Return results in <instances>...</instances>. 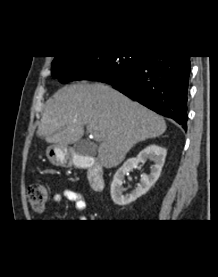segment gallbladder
<instances>
[{
  "instance_id": "gallbladder-1",
  "label": "gallbladder",
  "mask_w": 218,
  "mask_h": 277,
  "mask_svg": "<svg viewBox=\"0 0 218 277\" xmlns=\"http://www.w3.org/2000/svg\"><path fill=\"white\" fill-rule=\"evenodd\" d=\"M73 149H74L75 153L78 155H94L95 154V149L93 148V146H91L89 144V142L84 139L77 141L74 144Z\"/></svg>"
}]
</instances>
